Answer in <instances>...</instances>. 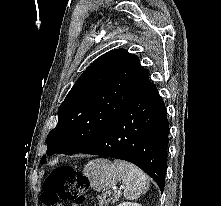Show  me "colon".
Here are the masks:
<instances>
[{
    "label": "colon",
    "instance_id": "1",
    "mask_svg": "<svg viewBox=\"0 0 221 206\" xmlns=\"http://www.w3.org/2000/svg\"><path fill=\"white\" fill-rule=\"evenodd\" d=\"M87 178L70 166L56 168L45 182L43 202L53 205L61 201H81Z\"/></svg>",
    "mask_w": 221,
    "mask_h": 206
}]
</instances>
